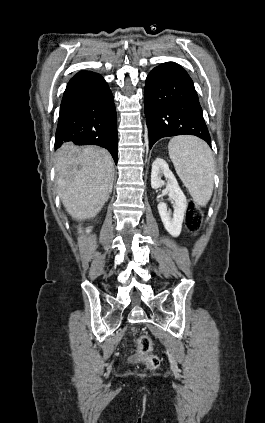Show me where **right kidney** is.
Returning a JSON list of instances; mask_svg holds the SVG:
<instances>
[{"label":"right kidney","mask_w":265,"mask_h":423,"mask_svg":"<svg viewBox=\"0 0 265 423\" xmlns=\"http://www.w3.org/2000/svg\"><path fill=\"white\" fill-rule=\"evenodd\" d=\"M91 230L90 229H87V233H89Z\"/></svg>","instance_id":"ca27d5eb"}]
</instances>
